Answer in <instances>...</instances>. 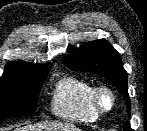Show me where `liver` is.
Returning <instances> with one entry per match:
<instances>
[{"mask_svg": "<svg viewBox=\"0 0 147 131\" xmlns=\"http://www.w3.org/2000/svg\"><path fill=\"white\" fill-rule=\"evenodd\" d=\"M17 131H80V129L70 123L40 122L18 128Z\"/></svg>", "mask_w": 147, "mask_h": 131, "instance_id": "liver-1", "label": "liver"}]
</instances>
